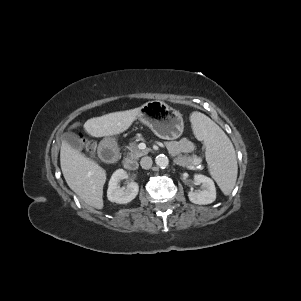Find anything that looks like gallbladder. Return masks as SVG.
Masks as SVG:
<instances>
[{"mask_svg":"<svg viewBox=\"0 0 301 301\" xmlns=\"http://www.w3.org/2000/svg\"><path fill=\"white\" fill-rule=\"evenodd\" d=\"M61 139L77 151H81L84 148V143L75 133L66 132L61 136Z\"/></svg>","mask_w":301,"mask_h":301,"instance_id":"1","label":"gallbladder"}]
</instances>
